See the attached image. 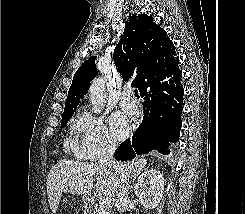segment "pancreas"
I'll list each match as a JSON object with an SVG mask.
<instances>
[{
  "mask_svg": "<svg viewBox=\"0 0 245 214\" xmlns=\"http://www.w3.org/2000/svg\"><path fill=\"white\" fill-rule=\"evenodd\" d=\"M94 214H112V209L110 207H104L101 204H97Z\"/></svg>",
  "mask_w": 245,
  "mask_h": 214,
  "instance_id": "cf45deb5",
  "label": "pancreas"
}]
</instances>
